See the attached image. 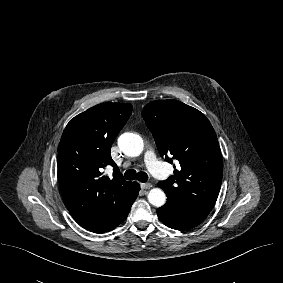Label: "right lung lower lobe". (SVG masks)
I'll return each instance as SVG.
<instances>
[{
    "instance_id": "obj_1",
    "label": "right lung lower lobe",
    "mask_w": 283,
    "mask_h": 283,
    "mask_svg": "<svg viewBox=\"0 0 283 283\" xmlns=\"http://www.w3.org/2000/svg\"><path fill=\"white\" fill-rule=\"evenodd\" d=\"M139 190H140V186H139V184H138L137 192H136V194H135V197H134L133 201L131 202V204L125 209V211L122 213V215H121L114 223H112L111 225H109V226L106 227L105 229L100 230V231L95 232V233L107 232V231H109V230L114 229V228L117 227L120 223H122V222L127 218V215H128V213H129V211H130V208H131V205H132V203L134 202V200L136 199Z\"/></svg>"
}]
</instances>
